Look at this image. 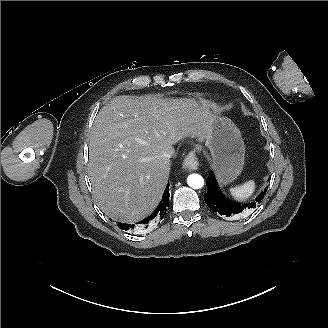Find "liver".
Returning a JSON list of instances; mask_svg holds the SVG:
<instances>
[{"instance_id":"obj_1","label":"liver","mask_w":328,"mask_h":328,"mask_svg":"<svg viewBox=\"0 0 328 328\" xmlns=\"http://www.w3.org/2000/svg\"><path fill=\"white\" fill-rule=\"evenodd\" d=\"M210 111L193 99L118 96L97 114L88 166L97 205L110 217L136 222L150 214L165 189L173 145L202 141Z\"/></svg>"}]
</instances>
